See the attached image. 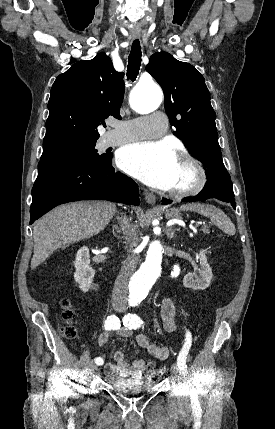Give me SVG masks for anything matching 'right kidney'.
<instances>
[{
    "label": "right kidney",
    "instance_id": "ca27d5eb",
    "mask_svg": "<svg viewBox=\"0 0 275 429\" xmlns=\"http://www.w3.org/2000/svg\"><path fill=\"white\" fill-rule=\"evenodd\" d=\"M89 249L86 246L80 248L76 254L74 279L79 284V288L88 292L93 285L95 271L90 267Z\"/></svg>",
    "mask_w": 275,
    "mask_h": 429
}]
</instances>
